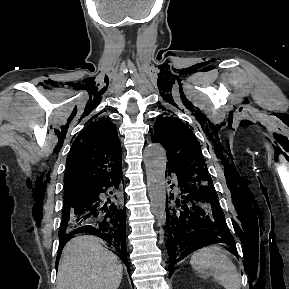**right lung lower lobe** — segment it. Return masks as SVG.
Wrapping results in <instances>:
<instances>
[{"instance_id": "obj_1", "label": "right lung lower lobe", "mask_w": 289, "mask_h": 289, "mask_svg": "<svg viewBox=\"0 0 289 289\" xmlns=\"http://www.w3.org/2000/svg\"><path fill=\"white\" fill-rule=\"evenodd\" d=\"M121 179L122 175L117 179L101 182L89 191L78 194L81 198L77 203L70 207L64 206L58 233L60 243L56 265L69 238L78 233H88L106 241L130 273L125 241V206L123 208L117 199H100V194L104 193L107 188L111 186L118 188Z\"/></svg>"}]
</instances>
